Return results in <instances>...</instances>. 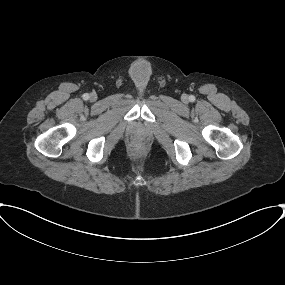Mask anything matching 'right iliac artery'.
Segmentation results:
<instances>
[{
  "mask_svg": "<svg viewBox=\"0 0 285 285\" xmlns=\"http://www.w3.org/2000/svg\"><path fill=\"white\" fill-rule=\"evenodd\" d=\"M83 99L84 100H88L89 99V94H87V93L83 94Z\"/></svg>",
  "mask_w": 285,
  "mask_h": 285,
  "instance_id": "right-iliac-artery-1",
  "label": "right iliac artery"
}]
</instances>
